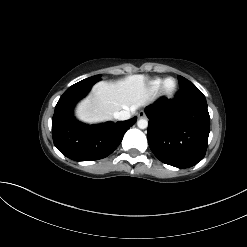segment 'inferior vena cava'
<instances>
[{
	"label": "inferior vena cava",
	"instance_id": "obj_1",
	"mask_svg": "<svg viewBox=\"0 0 247 247\" xmlns=\"http://www.w3.org/2000/svg\"><path fill=\"white\" fill-rule=\"evenodd\" d=\"M131 116L130 110H122L114 113V118L118 120H127Z\"/></svg>",
	"mask_w": 247,
	"mask_h": 247
}]
</instances>
